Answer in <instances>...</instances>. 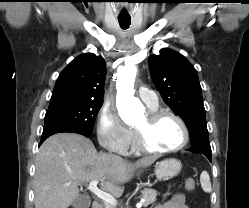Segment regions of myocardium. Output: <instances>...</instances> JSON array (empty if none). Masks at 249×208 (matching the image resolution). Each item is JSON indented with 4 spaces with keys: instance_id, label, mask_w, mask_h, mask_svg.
<instances>
[{
    "instance_id": "obj_1",
    "label": "myocardium",
    "mask_w": 249,
    "mask_h": 208,
    "mask_svg": "<svg viewBox=\"0 0 249 208\" xmlns=\"http://www.w3.org/2000/svg\"><path fill=\"white\" fill-rule=\"evenodd\" d=\"M166 117L172 118L179 123L183 131V140L175 148H171V149L152 148L146 142V136H145L146 131L149 128L155 126L160 120ZM146 119L147 121L144 127L134 129L135 146L138 151L142 153H146V154H156V155L169 154V153H175V152L182 150L188 144L189 139H190V132H189L188 126L185 123V121L177 114L171 111H168V110H155V111H149L146 115Z\"/></svg>"
}]
</instances>
